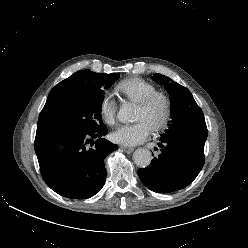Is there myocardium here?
Masks as SVG:
<instances>
[{
    "instance_id": "obj_1",
    "label": "myocardium",
    "mask_w": 248,
    "mask_h": 248,
    "mask_svg": "<svg viewBox=\"0 0 248 248\" xmlns=\"http://www.w3.org/2000/svg\"><path fill=\"white\" fill-rule=\"evenodd\" d=\"M161 102L164 105V114L160 121H158L153 127V131L159 132L165 129L172 120L173 116V102L170 96L167 94L156 92L144 100L138 103V107L149 110L151 109L156 103Z\"/></svg>"
}]
</instances>
